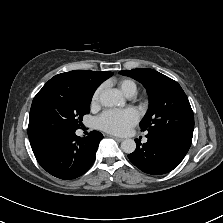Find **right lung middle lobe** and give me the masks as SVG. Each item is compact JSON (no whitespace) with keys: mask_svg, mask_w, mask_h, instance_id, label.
<instances>
[{"mask_svg":"<svg viewBox=\"0 0 223 223\" xmlns=\"http://www.w3.org/2000/svg\"><path fill=\"white\" fill-rule=\"evenodd\" d=\"M92 96L43 86L34 97L28 126L30 144L75 132L82 117L90 112Z\"/></svg>","mask_w":223,"mask_h":223,"instance_id":"obj_1","label":"right lung middle lobe"}]
</instances>
